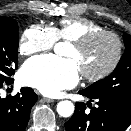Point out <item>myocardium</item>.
Listing matches in <instances>:
<instances>
[{
    "label": "myocardium",
    "mask_w": 131,
    "mask_h": 131,
    "mask_svg": "<svg viewBox=\"0 0 131 131\" xmlns=\"http://www.w3.org/2000/svg\"><path fill=\"white\" fill-rule=\"evenodd\" d=\"M100 37H108L112 39L115 43V52L110 63L102 71L95 74H88V73L81 72L83 78L89 81L102 80L115 70L122 56V51H123L122 40L119 37V35H117L116 33L109 30L102 29L98 31L89 32L81 36L80 38L71 41V45L77 48H84L85 46L90 44L93 40Z\"/></svg>",
    "instance_id": "1"
}]
</instances>
